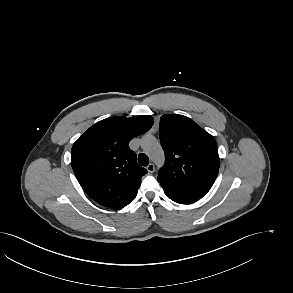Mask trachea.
Here are the masks:
<instances>
[{"label": "trachea", "mask_w": 293, "mask_h": 293, "mask_svg": "<svg viewBox=\"0 0 293 293\" xmlns=\"http://www.w3.org/2000/svg\"><path fill=\"white\" fill-rule=\"evenodd\" d=\"M138 162L141 166H147L149 164V158L146 154L140 153L138 156Z\"/></svg>", "instance_id": "3493384b"}]
</instances>
